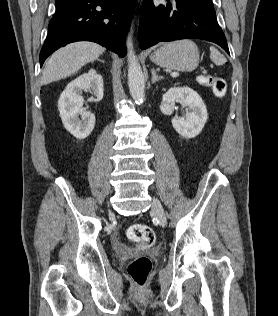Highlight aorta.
I'll return each mask as SVG.
<instances>
[{"instance_id": "762f6f07", "label": "aorta", "mask_w": 278, "mask_h": 316, "mask_svg": "<svg viewBox=\"0 0 278 316\" xmlns=\"http://www.w3.org/2000/svg\"><path fill=\"white\" fill-rule=\"evenodd\" d=\"M126 46L128 50V86L130 94L136 103H142L145 98V80L133 50L132 30L128 35Z\"/></svg>"}]
</instances>
